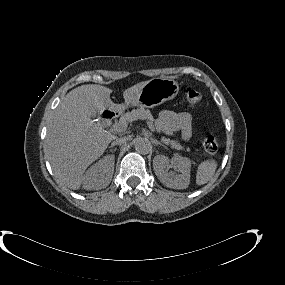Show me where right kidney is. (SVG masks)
<instances>
[{"label": "right kidney", "mask_w": 285, "mask_h": 285, "mask_svg": "<svg viewBox=\"0 0 285 285\" xmlns=\"http://www.w3.org/2000/svg\"><path fill=\"white\" fill-rule=\"evenodd\" d=\"M114 155H107L92 165L83 178V188L86 190H99L107 187L114 173Z\"/></svg>", "instance_id": "right-kidney-1"}]
</instances>
